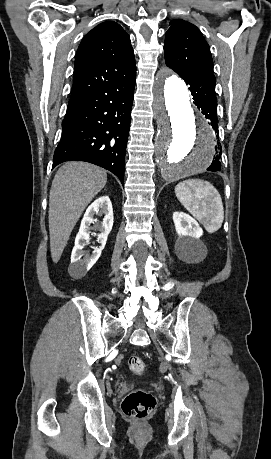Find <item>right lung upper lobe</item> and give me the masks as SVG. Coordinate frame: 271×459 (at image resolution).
<instances>
[{"label": "right lung upper lobe", "instance_id": "right-lung-upper-lobe-1", "mask_svg": "<svg viewBox=\"0 0 271 459\" xmlns=\"http://www.w3.org/2000/svg\"><path fill=\"white\" fill-rule=\"evenodd\" d=\"M136 73L130 37L114 21H106L84 37L77 50L68 107L102 90L119 78Z\"/></svg>", "mask_w": 271, "mask_h": 459}]
</instances>
